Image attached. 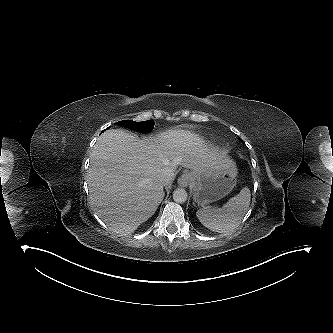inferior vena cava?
I'll return each mask as SVG.
<instances>
[{
    "mask_svg": "<svg viewBox=\"0 0 333 333\" xmlns=\"http://www.w3.org/2000/svg\"><path fill=\"white\" fill-rule=\"evenodd\" d=\"M173 177L174 172L169 168H165L161 171L158 179L163 185H167L173 180Z\"/></svg>",
    "mask_w": 333,
    "mask_h": 333,
    "instance_id": "obj_1",
    "label": "inferior vena cava"
}]
</instances>
